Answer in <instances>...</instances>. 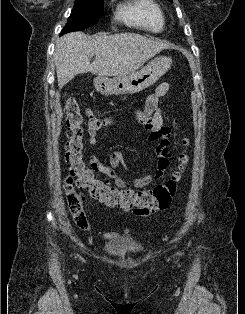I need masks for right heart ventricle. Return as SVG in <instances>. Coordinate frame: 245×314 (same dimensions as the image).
<instances>
[{"label":"right heart ventricle","mask_w":245,"mask_h":314,"mask_svg":"<svg viewBox=\"0 0 245 314\" xmlns=\"http://www.w3.org/2000/svg\"><path fill=\"white\" fill-rule=\"evenodd\" d=\"M117 17L130 26L159 32L164 28V12L156 0H125L119 4Z\"/></svg>","instance_id":"obj_1"}]
</instances>
